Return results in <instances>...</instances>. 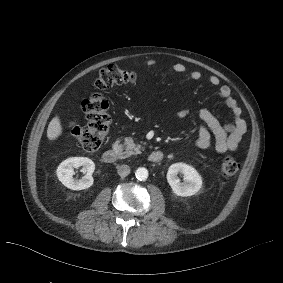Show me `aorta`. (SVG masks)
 <instances>
[{
	"instance_id": "aorta-1",
	"label": "aorta",
	"mask_w": 283,
	"mask_h": 283,
	"mask_svg": "<svg viewBox=\"0 0 283 283\" xmlns=\"http://www.w3.org/2000/svg\"><path fill=\"white\" fill-rule=\"evenodd\" d=\"M135 176L140 181L145 180L148 177V170L144 167L138 168L135 172Z\"/></svg>"
}]
</instances>
